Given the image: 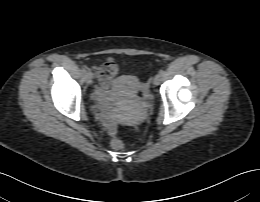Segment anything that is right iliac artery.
<instances>
[{
	"mask_svg": "<svg viewBox=\"0 0 260 202\" xmlns=\"http://www.w3.org/2000/svg\"><path fill=\"white\" fill-rule=\"evenodd\" d=\"M82 72H83L84 74H86V73H87V70H86L85 68H83V69H82Z\"/></svg>",
	"mask_w": 260,
	"mask_h": 202,
	"instance_id": "right-iliac-artery-1",
	"label": "right iliac artery"
}]
</instances>
